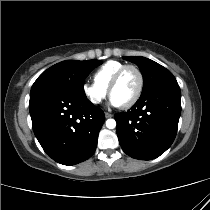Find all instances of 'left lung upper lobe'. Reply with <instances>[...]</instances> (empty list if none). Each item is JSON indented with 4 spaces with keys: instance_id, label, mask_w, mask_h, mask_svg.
Instances as JSON below:
<instances>
[{
    "instance_id": "left-lung-upper-lobe-1",
    "label": "left lung upper lobe",
    "mask_w": 210,
    "mask_h": 210,
    "mask_svg": "<svg viewBox=\"0 0 210 210\" xmlns=\"http://www.w3.org/2000/svg\"><path fill=\"white\" fill-rule=\"evenodd\" d=\"M123 58L135 63L140 68L144 80V86L141 95L147 93L159 85L176 82L175 77L169 70L153 60L142 56H125Z\"/></svg>"
}]
</instances>
